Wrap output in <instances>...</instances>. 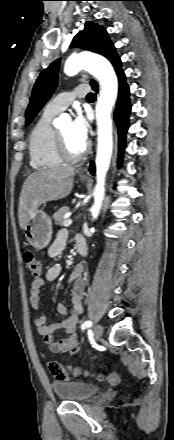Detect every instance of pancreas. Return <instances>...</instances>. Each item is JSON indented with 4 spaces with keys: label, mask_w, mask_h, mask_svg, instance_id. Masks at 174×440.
<instances>
[{
    "label": "pancreas",
    "mask_w": 174,
    "mask_h": 440,
    "mask_svg": "<svg viewBox=\"0 0 174 440\" xmlns=\"http://www.w3.org/2000/svg\"><path fill=\"white\" fill-rule=\"evenodd\" d=\"M70 211L69 207H62L58 211H56L53 215L54 222L56 225L62 226L65 219V214Z\"/></svg>",
    "instance_id": "obj_1"
}]
</instances>
